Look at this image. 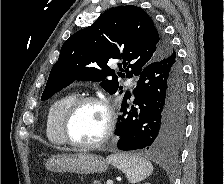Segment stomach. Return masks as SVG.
Listing matches in <instances>:
<instances>
[{"instance_id": "obj_1", "label": "stomach", "mask_w": 224, "mask_h": 184, "mask_svg": "<svg viewBox=\"0 0 224 184\" xmlns=\"http://www.w3.org/2000/svg\"><path fill=\"white\" fill-rule=\"evenodd\" d=\"M45 166L49 171L87 175L105 172L108 163L101 156L83 152L55 155L46 162Z\"/></svg>"}]
</instances>
